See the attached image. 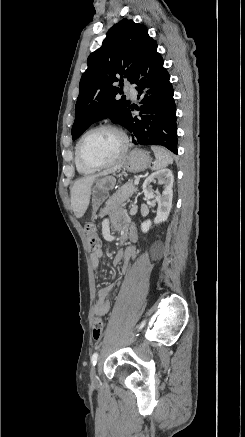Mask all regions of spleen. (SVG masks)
<instances>
[{
  "instance_id": "1",
  "label": "spleen",
  "mask_w": 245,
  "mask_h": 437,
  "mask_svg": "<svg viewBox=\"0 0 245 437\" xmlns=\"http://www.w3.org/2000/svg\"><path fill=\"white\" fill-rule=\"evenodd\" d=\"M152 151L155 155V162L153 164V170H159L167 167L169 164L173 163L172 154L163 147L160 146H151Z\"/></svg>"
}]
</instances>
